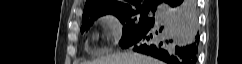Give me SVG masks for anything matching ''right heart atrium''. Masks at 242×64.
<instances>
[{"mask_svg":"<svg viewBox=\"0 0 242 64\" xmlns=\"http://www.w3.org/2000/svg\"><path fill=\"white\" fill-rule=\"evenodd\" d=\"M102 24L107 41L110 43L118 42L124 30L121 18L115 13H107L103 16Z\"/></svg>","mask_w":242,"mask_h":64,"instance_id":"1","label":"right heart atrium"}]
</instances>
